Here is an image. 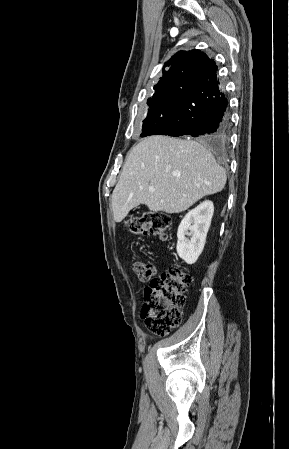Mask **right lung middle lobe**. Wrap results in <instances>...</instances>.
Instances as JSON below:
<instances>
[{
    "label": "right lung middle lobe",
    "instance_id": "obj_1",
    "mask_svg": "<svg viewBox=\"0 0 289 449\" xmlns=\"http://www.w3.org/2000/svg\"><path fill=\"white\" fill-rule=\"evenodd\" d=\"M147 104L149 110L143 121L141 137L153 135L159 125L172 121L176 116L173 101L168 92L152 96Z\"/></svg>",
    "mask_w": 289,
    "mask_h": 449
}]
</instances>
